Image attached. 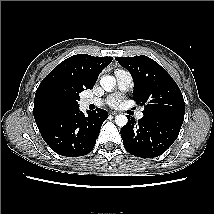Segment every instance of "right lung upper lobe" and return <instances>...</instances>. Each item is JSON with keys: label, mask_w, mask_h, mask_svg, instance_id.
Masks as SVG:
<instances>
[{"label": "right lung upper lobe", "mask_w": 214, "mask_h": 214, "mask_svg": "<svg viewBox=\"0 0 214 214\" xmlns=\"http://www.w3.org/2000/svg\"><path fill=\"white\" fill-rule=\"evenodd\" d=\"M112 60V57L78 54L57 65L42 80L35 94L33 114L38 128L62 111L73 109L53 102L52 94L55 92L79 94L85 89H92L100 72Z\"/></svg>", "instance_id": "right-lung-upper-lobe-1"}]
</instances>
